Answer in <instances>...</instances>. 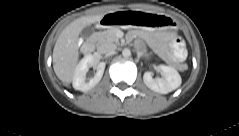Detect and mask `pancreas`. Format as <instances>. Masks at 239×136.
Here are the masks:
<instances>
[{
  "mask_svg": "<svg viewBox=\"0 0 239 136\" xmlns=\"http://www.w3.org/2000/svg\"><path fill=\"white\" fill-rule=\"evenodd\" d=\"M119 31L118 27H110L108 30L103 32L96 33V37L99 43L105 42H119V38L117 37L116 33Z\"/></svg>",
  "mask_w": 239,
  "mask_h": 136,
  "instance_id": "pancreas-1",
  "label": "pancreas"
}]
</instances>
